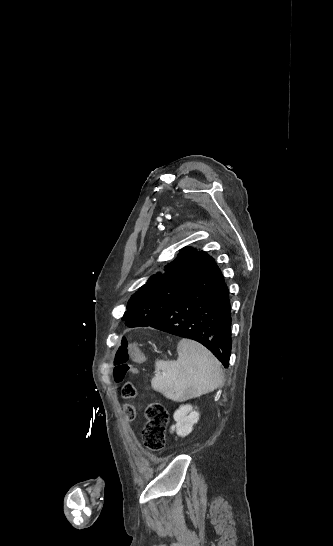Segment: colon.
Instances as JSON below:
<instances>
[{
  "mask_svg": "<svg viewBox=\"0 0 333 546\" xmlns=\"http://www.w3.org/2000/svg\"><path fill=\"white\" fill-rule=\"evenodd\" d=\"M134 343H129L123 340L116 350L115 354V369L114 379L120 382L127 375H135L137 368L129 363L130 346ZM137 395V388L134 383L127 382L122 388V397L126 401H132ZM146 425L142 431V437L147 448L152 452H160L166 445V430L169 424V414L166 408L159 403H150L145 409Z\"/></svg>",
  "mask_w": 333,
  "mask_h": 546,
  "instance_id": "colon-1",
  "label": "colon"
}]
</instances>
